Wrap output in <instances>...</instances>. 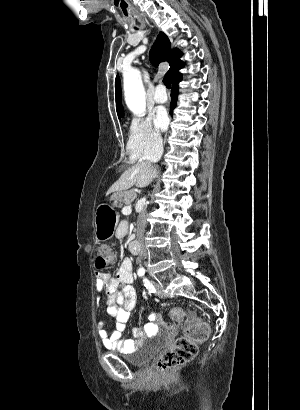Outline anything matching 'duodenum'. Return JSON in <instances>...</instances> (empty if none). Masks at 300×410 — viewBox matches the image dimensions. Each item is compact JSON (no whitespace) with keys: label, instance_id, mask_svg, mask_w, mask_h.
<instances>
[{"label":"duodenum","instance_id":"1","mask_svg":"<svg viewBox=\"0 0 300 410\" xmlns=\"http://www.w3.org/2000/svg\"><path fill=\"white\" fill-rule=\"evenodd\" d=\"M129 250L133 254H138L140 252L139 244L137 240H133L129 244Z\"/></svg>","mask_w":300,"mask_h":410}]
</instances>
